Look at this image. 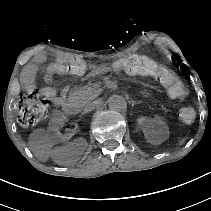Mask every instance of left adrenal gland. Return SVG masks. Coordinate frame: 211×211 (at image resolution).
<instances>
[{
    "mask_svg": "<svg viewBox=\"0 0 211 211\" xmlns=\"http://www.w3.org/2000/svg\"><path fill=\"white\" fill-rule=\"evenodd\" d=\"M132 103V107H135V105L140 104V102H136V101H131Z\"/></svg>",
    "mask_w": 211,
    "mask_h": 211,
    "instance_id": "obj_1",
    "label": "left adrenal gland"
}]
</instances>
